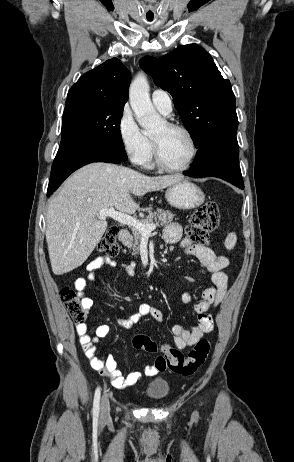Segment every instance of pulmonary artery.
Wrapping results in <instances>:
<instances>
[{
  "instance_id": "1",
  "label": "pulmonary artery",
  "mask_w": 294,
  "mask_h": 462,
  "mask_svg": "<svg viewBox=\"0 0 294 462\" xmlns=\"http://www.w3.org/2000/svg\"><path fill=\"white\" fill-rule=\"evenodd\" d=\"M153 105L163 114H169L172 111V99L168 92L157 89L151 94Z\"/></svg>"
}]
</instances>
